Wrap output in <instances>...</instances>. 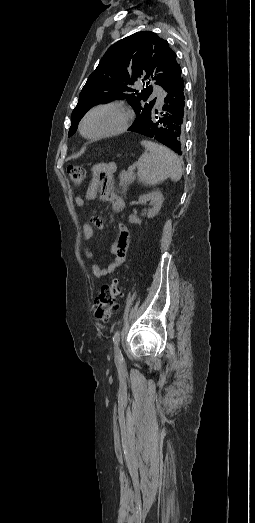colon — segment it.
Wrapping results in <instances>:
<instances>
[{"instance_id":"colon-1","label":"colon","mask_w":255,"mask_h":523,"mask_svg":"<svg viewBox=\"0 0 255 523\" xmlns=\"http://www.w3.org/2000/svg\"><path fill=\"white\" fill-rule=\"evenodd\" d=\"M67 172L74 186L80 187L83 184L85 170L82 167L69 166ZM122 293V286L118 279L114 278L109 283L104 284L95 300V317L102 321L109 320L113 312L118 308V301Z\"/></svg>"}]
</instances>
